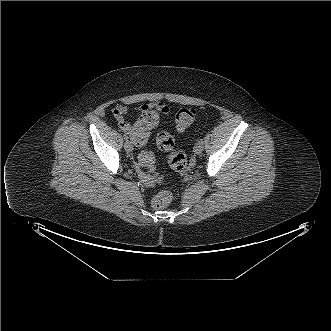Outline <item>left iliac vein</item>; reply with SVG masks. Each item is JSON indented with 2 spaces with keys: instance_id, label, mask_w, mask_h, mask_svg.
<instances>
[{
  "instance_id": "obj_1",
  "label": "left iliac vein",
  "mask_w": 331,
  "mask_h": 331,
  "mask_svg": "<svg viewBox=\"0 0 331 331\" xmlns=\"http://www.w3.org/2000/svg\"><path fill=\"white\" fill-rule=\"evenodd\" d=\"M193 151L197 155L201 154L203 151V145L200 142L196 143L194 145Z\"/></svg>"
}]
</instances>
